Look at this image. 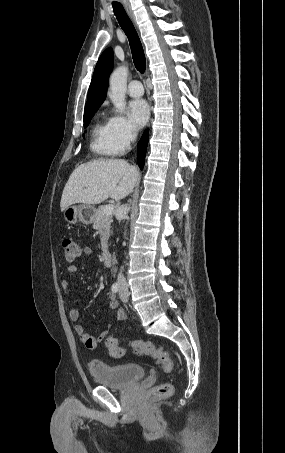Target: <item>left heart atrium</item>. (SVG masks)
Listing matches in <instances>:
<instances>
[{
	"label": "left heart atrium",
	"instance_id": "1",
	"mask_svg": "<svg viewBox=\"0 0 285 453\" xmlns=\"http://www.w3.org/2000/svg\"><path fill=\"white\" fill-rule=\"evenodd\" d=\"M128 115L130 121L138 128L143 127L149 118V107L146 101L135 99L129 103Z\"/></svg>",
	"mask_w": 285,
	"mask_h": 453
}]
</instances>
